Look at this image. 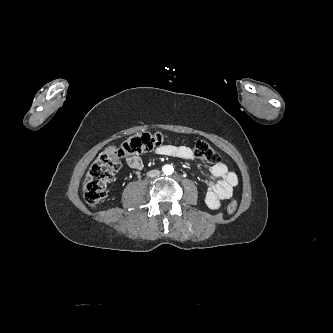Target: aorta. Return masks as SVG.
Segmentation results:
<instances>
[{"label":"aorta","mask_w":333,"mask_h":333,"mask_svg":"<svg viewBox=\"0 0 333 333\" xmlns=\"http://www.w3.org/2000/svg\"><path fill=\"white\" fill-rule=\"evenodd\" d=\"M163 172L165 175H171L174 172V168L171 165H165L163 167Z\"/></svg>","instance_id":"1"}]
</instances>
